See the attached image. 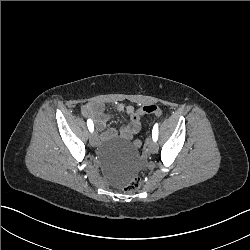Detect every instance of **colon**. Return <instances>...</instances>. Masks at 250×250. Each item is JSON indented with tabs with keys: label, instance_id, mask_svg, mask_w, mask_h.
Segmentation results:
<instances>
[{
	"label": "colon",
	"instance_id": "colon-1",
	"mask_svg": "<svg viewBox=\"0 0 250 250\" xmlns=\"http://www.w3.org/2000/svg\"><path fill=\"white\" fill-rule=\"evenodd\" d=\"M132 119L134 121H139L140 120V115L138 113H133L132 114ZM134 146L135 147H140L141 146V141L140 140H135L134 141ZM141 178L140 177H133L132 178V181L130 182V184H127V185H123L121 188H120V191L123 193V194H126V193H134L135 190H137L140 185H141Z\"/></svg>",
	"mask_w": 250,
	"mask_h": 250
}]
</instances>
